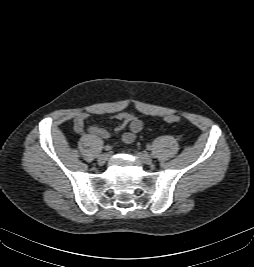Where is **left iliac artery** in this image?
Segmentation results:
<instances>
[{"mask_svg":"<svg viewBox=\"0 0 254 267\" xmlns=\"http://www.w3.org/2000/svg\"><path fill=\"white\" fill-rule=\"evenodd\" d=\"M147 149H148V150H151V149H152V146L147 145Z\"/></svg>","mask_w":254,"mask_h":267,"instance_id":"left-iliac-artery-1","label":"left iliac artery"}]
</instances>
